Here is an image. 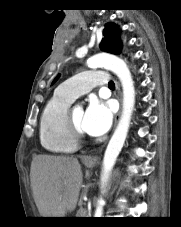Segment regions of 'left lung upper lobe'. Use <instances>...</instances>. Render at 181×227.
<instances>
[{"instance_id": "obj_1", "label": "left lung upper lobe", "mask_w": 181, "mask_h": 227, "mask_svg": "<svg viewBox=\"0 0 181 227\" xmlns=\"http://www.w3.org/2000/svg\"><path fill=\"white\" fill-rule=\"evenodd\" d=\"M103 36L104 38L100 43L101 50L112 54H119L121 50V43L115 25L107 24L103 31ZM58 77L59 75L55 78L53 83Z\"/></svg>"}]
</instances>
